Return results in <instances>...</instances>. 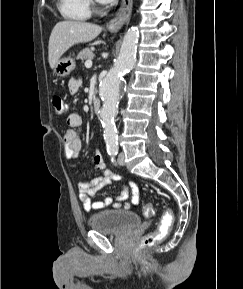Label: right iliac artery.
Wrapping results in <instances>:
<instances>
[{
    "label": "right iliac artery",
    "mask_w": 243,
    "mask_h": 289,
    "mask_svg": "<svg viewBox=\"0 0 243 289\" xmlns=\"http://www.w3.org/2000/svg\"><path fill=\"white\" fill-rule=\"evenodd\" d=\"M115 154V152H110L109 155Z\"/></svg>",
    "instance_id": "obj_1"
}]
</instances>
